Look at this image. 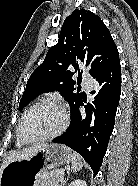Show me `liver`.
Segmentation results:
<instances>
[{"label": "liver", "instance_id": "1", "mask_svg": "<svg viewBox=\"0 0 138 186\" xmlns=\"http://www.w3.org/2000/svg\"><path fill=\"white\" fill-rule=\"evenodd\" d=\"M45 145L46 144H44V143H39V144L33 145L31 147H28V148H25L22 150L13 151V152L9 153L8 156L6 157V159L2 163V166L0 169V174H1L2 170L10 162L15 161V160L27 159V158L31 157L32 155H34L37 151H39Z\"/></svg>", "mask_w": 138, "mask_h": 186}]
</instances>
